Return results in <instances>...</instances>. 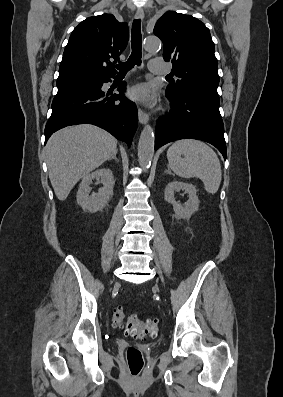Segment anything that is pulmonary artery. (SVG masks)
Segmentation results:
<instances>
[{"mask_svg":"<svg viewBox=\"0 0 283 397\" xmlns=\"http://www.w3.org/2000/svg\"><path fill=\"white\" fill-rule=\"evenodd\" d=\"M149 70L154 74H165L168 72V68L159 59H152L149 62Z\"/></svg>","mask_w":283,"mask_h":397,"instance_id":"1","label":"pulmonary artery"}]
</instances>
